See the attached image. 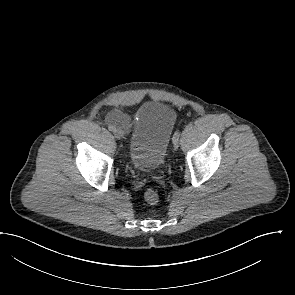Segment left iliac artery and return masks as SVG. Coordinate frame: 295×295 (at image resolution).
I'll return each mask as SVG.
<instances>
[{"instance_id":"left-iliac-artery-1","label":"left iliac artery","mask_w":295,"mask_h":295,"mask_svg":"<svg viewBox=\"0 0 295 295\" xmlns=\"http://www.w3.org/2000/svg\"><path fill=\"white\" fill-rule=\"evenodd\" d=\"M179 136H180V131L179 130H177L175 133H174V135H173V140H178L179 139Z\"/></svg>"}]
</instances>
